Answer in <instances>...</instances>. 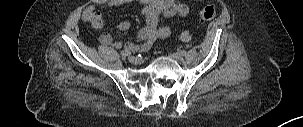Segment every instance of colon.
<instances>
[{"mask_svg":"<svg viewBox=\"0 0 303 127\" xmlns=\"http://www.w3.org/2000/svg\"><path fill=\"white\" fill-rule=\"evenodd\" d=\"M216 9L213 6H206L202 8L199 12V19L201 22H208L215 18ZM169 36V32L165 31L163 33V38H167ZM182 40H189L191 38V34L188 31H183L180 35Z\"/></svg>","mask_w":303,"mask_h":127,"instance_id":"colon-1","label":"colon"}]
</instances>
